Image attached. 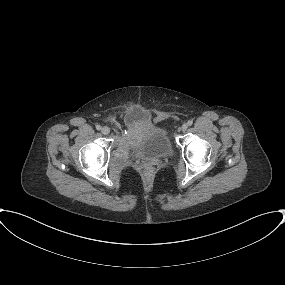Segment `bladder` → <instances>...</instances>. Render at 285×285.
<instances>
[{
    "mask_svg": "<svg viewBox=\"0 0 285 285\" xmlns=\"http://www.w3.org/2000/svg\"><path fill=\"white\" fill-rule=\"evenodd\" d=\"M127 130L138 135L134 151L138 156L157 158L166 157L173 151L169 132L164 127L155 124L148 114L133 109L125 118Z\"/></svg>",
    "mask_w": 285,
    "mask_h": 285,
    "instance_id": "obj_1",
    "label": "bladder"
}]
</instances>
